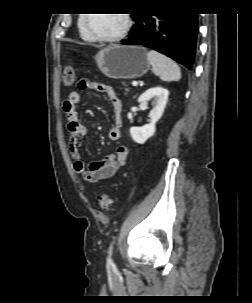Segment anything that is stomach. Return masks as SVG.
<instances>
[{
  "label": "stomach",
  "instance_id": "1",
  "mask_svg": "<svg viewBox=\"0 0 252 303\" xmlns=\"http://www.w3.org/2000/svg\"><path fill=\"white\" fill-rule=\"evenodd\" d=\"M100 71L112 79H135L150 68L146 49L134 45H110L95 56Z\"/></svg>",
  "mask_w": 252,
  "mask_h": 303
}]
</instances>
